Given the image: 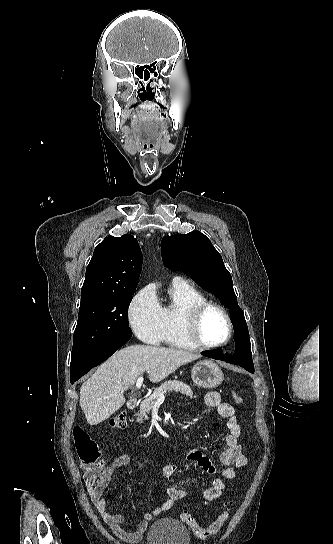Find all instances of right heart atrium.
<instances>
[{
  "instance_id": "obj_1",
  "label": "right heart atrium",
  "mask_w": 333,
  "mask_h": 544,
  "mask_svg": "<svg viewBox=\"0 0 333 544\" xmlns=\"http://www.w3.org/2000/svg\"><path fill=\"white\" fill-rule=\"evenodd\" d=\"M129 324L143 342L158 345L164 339L165 321L162 306L153 288H142L128 309Z\"/></svg>"
}]
</instances>
